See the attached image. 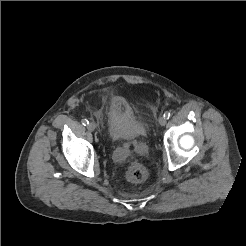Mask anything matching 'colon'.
<instances>
[{"instance_id": "5ec220e1", "label": "colon", "mask_w": 246, "mask_h": 246, "mask_svg": "<svg viewBox=\"0 0 246 246\" xmlns=\"http://www.w3.org/2000/svg\"><path fill=\"white\" fill-rule=\"evenodd\" d=\"M126 178L132 183H140L147 178V170L142 164L134 162L129 167Z\"/></svg>"}]
</instances>
